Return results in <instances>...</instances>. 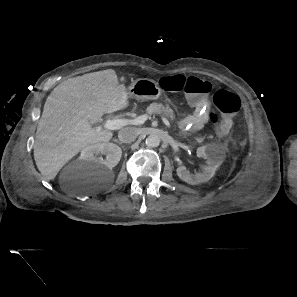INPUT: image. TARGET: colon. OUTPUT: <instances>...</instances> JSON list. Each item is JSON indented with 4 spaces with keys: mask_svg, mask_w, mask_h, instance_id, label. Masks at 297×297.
I'll return each mask as SVG.
<instances>
[{
    "mask_svg": "<svg viewBox=\"0 0 297 297\" xmlns=\"http://www.w3.org/2000/svg\"><path fill=\"white\" fill-rule=\"evenodd\" d=\"M159 85L166 91L184 93L196 102L207 97L212 91V84L209 81L183 75L163 77L159 80ZM213 103L215 110L210 114V119L216 134L224 137L232 128L241 107V100L236 94L220 89L215 93Z\"/></svg>",
    "mask_w": 297,
    "mask_h": 297,
    "instance_id": "colon-1",
    "label": "colon"
}]
</instances>
